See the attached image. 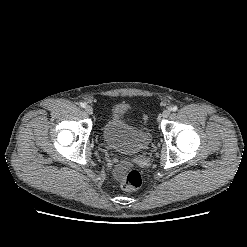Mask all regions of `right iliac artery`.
I'll return each instance as SVG.
<instances>
[{
	"label": "right iliac artery",
	"instance_id": "1",
	"mask_svg": "<svg viewBox=\"0 0 247 247\" xmlns=\"http://www.w3.org/2000/svg\"><path fill=\"white\" fill-rule=\"evenodd\" d=\"M79 105H80V107H82V108H85V106H86V104L83 103V102H81Z\"/></svg>",
	"mask_w": 247,
	"mask_h": 247
}]
</instances>
